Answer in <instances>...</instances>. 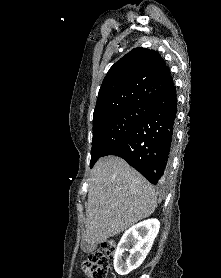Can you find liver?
<instances>
[{
	"mask_svg": "<svg viewBox=\"0 0 221 278\" xmlns=\"http://www.w3.org/2000/svg\"><path fill=\"white\" fill-rule=\"evenodd\" d=\"M156 207L154 187L126 161L114 156L99 159L88 184L85 241L89 251L149 217Z\"/></svg>",
	"mask_w": 221,
	"mask_h": 278,
	"instance_id": "1",
	"label": "liver"
}]
</instances>
